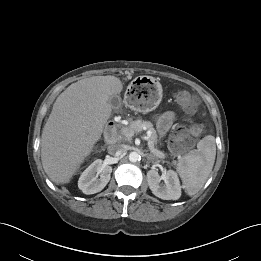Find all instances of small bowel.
I'll return each instance as SVG.
<instances>
[{"instance_id":"1","label":"small bowel","mask_w":261,"mask_h":261,"mask_svg":"<svg viewBox=\"0 0 261 261\" xmlns=\"http://www.w3.org/2000/svg\"><path fill=\"white\" fill-rule=\"evenodd\" d=\"M176 118L175 113L171 111L164 112L160 115L158 118V130L161 135H164L167 133V131L170 129L174 119ZM201 130L197 131L196 134H200Z\"/></svg>"}]
</instances>
